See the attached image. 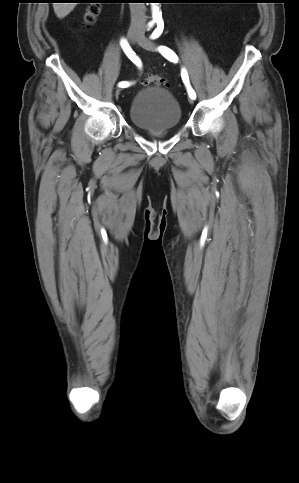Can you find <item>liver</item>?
Here are the masks:
<instances>
[{"label": "liver", "instance_id": "6515ba94", "mask_svg": "<svg viewBox=\"0 0 299 483\" xmlns=\"http://www.w3.org/2000/svg\"><path fill=\"white\" fill-rule=\"evenodd\" d=\"M76 3H53L56 16L60 19L66 17L75 7Z\"/></svg>", "mask_w": 299, "mask_h": 483}]
</instances>
